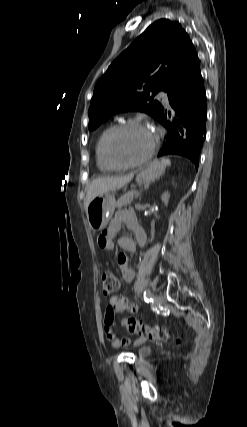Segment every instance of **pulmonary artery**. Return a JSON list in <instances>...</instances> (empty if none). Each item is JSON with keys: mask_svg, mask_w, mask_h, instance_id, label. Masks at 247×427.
I'll use <instances>...</instances> for the list:
<instances>
[{"mask_svg": "<svg viewBox=\"0 0 247 427\" xmlns=\"http://www.w3.org/2000/svg\"><path fill=\"white\" fill-rule=\"evenodd\" d=\"M158 97L161 98L162 102L168 106L169 105V100H168V96L165 92L161 91L158 93Z\"/></svg>", "mask_w": 247, "mask_h": 427, "instance_id": "pulmonary-artery-1", "label": "pulmonary artery"}]
</instances>
